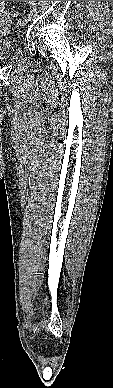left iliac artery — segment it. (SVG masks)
<instances>
[{
	"label": "left iliac artery",
	"mask_w": 113,
	"mask_h": 388,
	"mask_svg": "<svg viewBox=\"0 0 113 388\" xmlns=\"http://www.w3.org/2000/svg\"><path fill=\"white\" fill-rule=\"evenodd\" d=\"M26 17L28 18V20L31 19V15L30 14H26Z\"/></svg>",
	"instance_id": "obj_1"
}]
</instances>
